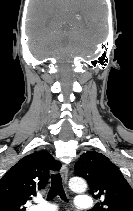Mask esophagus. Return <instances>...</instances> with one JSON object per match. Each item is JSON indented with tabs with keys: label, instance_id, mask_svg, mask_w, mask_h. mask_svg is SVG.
Returning a JSON list of instances; mask_svg holds the SVG:
<instances>
[{
	"label": "esophagus",
	"instance_id": "esophagus-1",
	"mask_svg": "<svg viewBox=\"0 0 133 211\" xmlns=\"http://www.w3.org/2000/svg\"><path fill=\"white\" fill-rule=\"evenodd\" d=\"M61 176H62L63 182L67 184L69 174H68V167L65 164L62 165Z\"/></svg>",
	"mask_w": 133,
	"mask_h": 211
}]
</instances>
